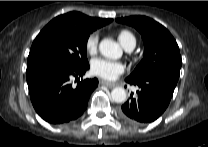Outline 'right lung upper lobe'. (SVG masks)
Segmentation results:
<instances>
[{
  "mask_svg": "<svg viewBox=\"0 0 208 147\" xmlns=\"http://www.w3.org/2000/svg\"><path fill=\"white\" fill-rule=\"evenodd\" d=\"M112 19H103V18H93L86 16L80 12H69L63 15H60L56 18H54L51 22H70L74 24H78L81 26H85L87 28H91L93 30H96L97 28H100L108 23H110Z\"/></svg>",
  "mask_w": 208,
  "mask_h": 147,
  "instance_id": "obj_1",
  "label": "right lung upper lobe"
}]
</instances>
